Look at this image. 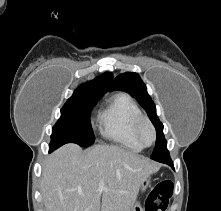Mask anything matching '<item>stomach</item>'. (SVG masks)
<instances>
[{
	"mask_svg": "<svg viewBox=\"0 0 221 211\" xmlns=\"http://www.w3.org/2000/svg\"><path fill=\"white\" fill-rule=\"evenodd\" d=\"M154 174H157L158 173V170L153 172ZM148 174L147 176H145V178L142 180V183H141V186H140V189H141V192H145L146 189L148 187H150L151 185V181H152V174ZM130 211H144V207L139 203V202H135L134 205L131 207Z\"/></svg>",
	"mask_w": 221,
	"mask_h": 211,
	"instance_id": "stomach-1",
	"label": "stomach"
}]
</instances>
